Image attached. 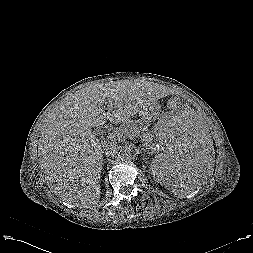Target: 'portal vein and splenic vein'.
I'll use <instances>...</instances> for the list:
<instances>
[{"instance_id": "18ae733b", "label": "portal vein and splenic vein", "mask_w": 253, "mask_h": 253, "mask_svg": "<svg viewBox=\"0 0 253 253\" xmlns=\"http://www.w3.org/2000/svg\"><path fill=\"white\" fill-rule=\"evenodd\" d=\"M109 132V131H108ZM132 132V131H131ZM117 137H119V133L117 134ZM149 142H152L151 140H149ZM151 145V144H150Z\"/></svg>"}]
</instances>
